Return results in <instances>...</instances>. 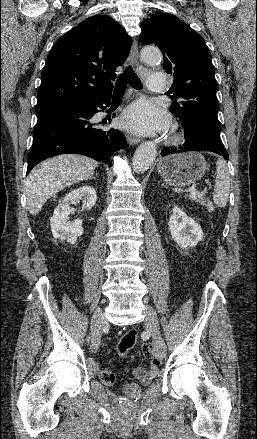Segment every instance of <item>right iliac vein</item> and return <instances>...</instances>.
Segmentation results:
<instances>
[{
  "instance_id": "1",
  "label": "right iliac vein",
  "mask_w": 257,
  "mask_h": 439,
  "mask_svg": "<svg viewBox=\"0 0 257 439\" xmlns=\"http://www.w3.org/2000/svg\"><path fill=\"white\" fill-rule=\"evenodd\" d=\"M105 322L104 314L97 310L91 321L92 325V339H91V351L96 352L100 345L102 326Z\"/></svg>"
}]
</instances>
